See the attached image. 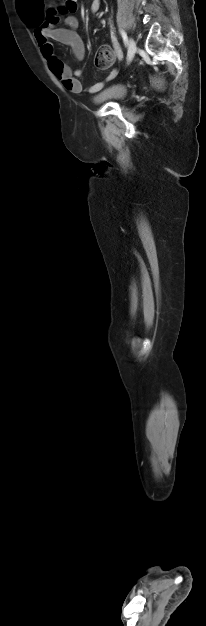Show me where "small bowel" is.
Wrapping results in <instances>:
<instances>
[{
	"instance_id": "1",
	"label": "small bowel",
	"mask_w": 206,
	"mask_h": 626,
	"mask_svg": "<svg viewBox=\"0 0 206 626\" xmlns=\"http://www.w3.org/2000/svg\"><path fill=\"white\" fill-rule=\"evenodd\" d=\"M78 8L77 0H66L58 7L50 6L46 11L42 5H36L35 10L25 19V22L33 28L34 37L40 48L43 57L46 59L53 75L70 92L80 94L84 91L79 80L82 75L81 70H72L54 51L51 40L67 45L71 48L75 58L81 61L85 55V45L82 38L77 33V19L72 15ZM100 8V0H93L91 4L92 13H97ZM60 15H63L64 26H59ZM112 48L117 58H121V50L116 39L112 40ZM116 71L112 72L105 80L89 86L88 93H96L102 89L104 83L112 79Z\"/></svg>"
}]
</instances>
